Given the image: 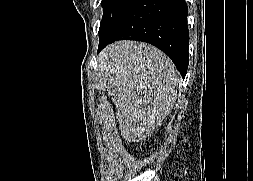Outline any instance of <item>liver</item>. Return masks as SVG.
Listing matches in <instances>:
<instances>
[{
  "instance_id": "liver-1",
  "label": "liver",
  "mask_w": 253,
  "mask_h": 181,
  "mask_svg": "<svg viewBox=\"0 0 253 181\" xmlns=\"http://www.w3.org/2000/svg\"><path fill=\"white\" fill-rule=\"evenodd\" d=\"M97 61L123 139L130 143L150 136L174 106L179 74L172 61L156 47L135 41L108 45Z\"/></svg>"
}]
</instances>
